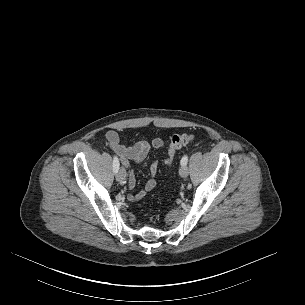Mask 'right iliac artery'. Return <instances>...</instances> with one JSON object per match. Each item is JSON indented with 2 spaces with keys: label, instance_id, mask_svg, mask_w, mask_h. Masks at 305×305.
Instances as JSON below:
<instances>
[{
  "label": "right iliac artery",
  "instance_id": "82829eb1",
  "mask_svg": "<svg viewBox=\"0 0 305 305\" xmlns=\"http://www.w3.org/2000/svg\"><path fill=\"white\" fill-rule=\"evenodd\" d=\"M119 166H120L119 159H118L117 156H114L113 157V171H114V173L118 172Z\"/></svg>",
  "mask_w": 305,
  "mask_h": 305
}]
</instances>
